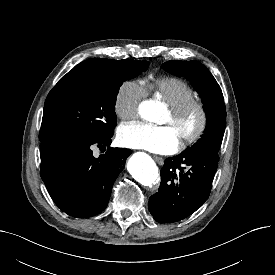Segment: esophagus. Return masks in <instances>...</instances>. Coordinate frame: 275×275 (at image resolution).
Wrapping results in <instances>:
<instances>
[{
  "instance_id": "esophagus-1",
  "label": "esophagus",
  "mask_w": 275,
  "mask_h": 275,
  "mask_svg": "<svg viewBox=\"0 0 275 275\" xmlns=\"http://www.w3.org/2000/svg\"><path fill=\"white\" fill-rule=\"evenodd\" d=\"M155 161L159 164V165H163L164 164V160L159 157V156H154Z\"/></svg>"
}]
</instances>
